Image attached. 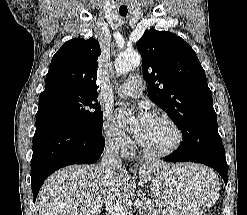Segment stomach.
I'll return each instance as SVG.
<instances>
[{"mask_svg":"<svg viewBox=\"0 0 247 215\" xmlns=\"http://www.w3.org/2000/svg\"><path fill=\"white\" fill-rule=\"evenodd\" d=\"M151 196L162 215H202L218 196L219 181L209 169L196 171L172 164L156 171Z\"/></svg>","mask_w":247,"mask_h":215,"instance_id":"stomach-1","label":"stomach"}]
</instances>
